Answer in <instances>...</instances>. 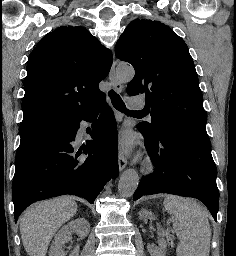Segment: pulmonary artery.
<instances>
[{"mask_svg": "<svg viewBox=\"0 0 236 256\" xmlns=\"http://www.w3.org/2000/svg\"><path fill=\"white\" fill-rule=\"evenodd\" d=\"M129 100L131 101L129 105L130 109H142V106H144L141 96H130Z\"/></svg>", "mask_w": 236, "mask_h": 256, "instance_id": "obj_1", "label": "pulmonary artery"}]
</instances>
